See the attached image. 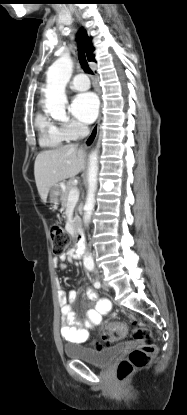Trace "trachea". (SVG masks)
Listing matches in <instances>:
<instances>
[{
  "label": "trachea",
  "mask_w": 187,
  "mask_h": 415,
  "mask_svg": "<svg viewBox=\"0 0 187 415\" xmlns=\"http://www.w3.org/2000/svg\"><path fill=\"white\" fill-rule=\"evenodd\" d=\"M79 61H80L81 67L86 73L93 74L92 70L90 69L87 63L85 54L81 48H79Z\"/></svg>",
  "instance_id": "1"
}]
</instances>
